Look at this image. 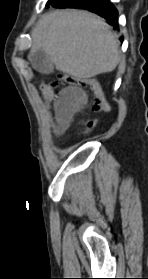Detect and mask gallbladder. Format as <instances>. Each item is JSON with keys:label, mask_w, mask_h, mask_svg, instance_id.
Instances as JSON below:
<instances>
[{"label": "gallbladder", "mask_w": 148, "mask_h": 279, "mask_svg": "<svg viewBox=\"0 0 148 279\" xmlns=\"http://www.w3.org/2000/svg\"><path fill=\"white\" fill-rule=\"evenodd\" d=\"M29 61L33 68L42 74H51L54 72V64L48 54L43 50H38L29 55Z\"/></svg>", "instance_id": "gallbladder-1"}]
</instances>
